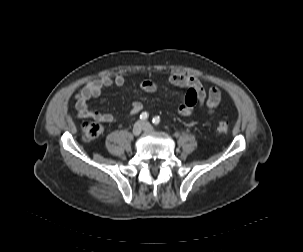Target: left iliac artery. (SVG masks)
Returning <instances> with one entry per match:
<instances>
[{"instance_id":"left-iliac-artery-1","label":"left iliac artery","mask_w":303,"mask_h":252,"mask_svg":"<svg viewBox=\"0 0 303 252\" xmlns=\"http://www.w3.org/2000/svg\"><path fill=\"white\" fill-rule=\"evenodd\" d=\"M152 122H153L154 125H158L160 123V117L159 116H155L152 119Z\"/></svg>"}]
</instances>
